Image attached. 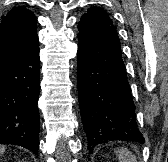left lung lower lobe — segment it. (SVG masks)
Instances as JSON below:
<instances>
[{
  "instance_id": "1",
  "label": "left lung lower lobe",
  "mask_w": 168,
  "mask_h": 162,
  "mask_svg": "<svg viewBox=\"0 0 168 162\" xmlns=\"http://www.w3.org/2000/svg\"><path fill=\"white\" fill-rule=\"evenodd\" d=\"M78 30L79 104L89 152L115 140L143 144L115 28L83 15Z\"/></svg>"
}]
</instances>
